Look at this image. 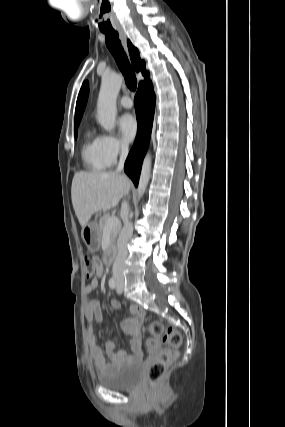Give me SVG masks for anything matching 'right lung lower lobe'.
Wrapping results in <instances>:
<instances>
[{
  "label": "right lung lower lobe",
  "instance_id": "obj_1",
  "mask_svg": "<svg viewBox=\"0 0 285 427\" xmlns=\"http://www.w3.org/2000/svg\"><path fill=\"white\" fill-rule=\"evenodd\" d=\"M134 102L138 121V133L133 148L126 159L124 170L137 187L143 158L150 140L154 117L155 95L149 77L139 83Z\"/></svg>",
  "mask_w": 285,
  "mask_h": 427
}]
</instances>
